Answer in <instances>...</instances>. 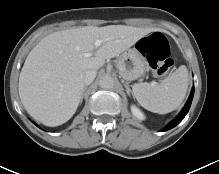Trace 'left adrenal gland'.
<instances>
[{
  "mask_svg": "<svg viewBox=\"0 0 219 174\" xmlns=\"http://www.w3.org/2000/svg\"><path fill=\"white\" fill-rule=\"evenodd\" d=\"M126 91L128 95H130V93L132 92L128 85H126Z\"/></svg>",
  "mask_w": 219,
  "mask_h": 174,
  "instance_id": "1",
  "label": "left adrenal gland"
}]
</instances>
